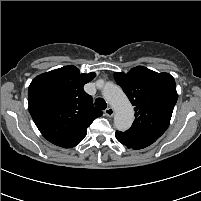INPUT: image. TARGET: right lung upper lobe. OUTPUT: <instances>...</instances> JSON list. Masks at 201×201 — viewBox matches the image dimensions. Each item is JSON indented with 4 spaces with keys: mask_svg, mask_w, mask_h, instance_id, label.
<instances>
[{
    "mask_svg": "<svg viewBox=\"0 0 201 201\" xmlns=\"http://www.w3.org/2000/svg\"><path fill=\"white\" fill-rule=\"evenodd\" d=\"M95 73L80 74L75 66L43 73L28 89L30 114L41 134L60 147L78 144L93 120L102 115L83 86Z\"/></svg>",
    "mask_w": 201,
    "mask_h": 201,
    "instance_id": "obj_1",
    "label": "right lung upper lobe"
}]
</instances>
